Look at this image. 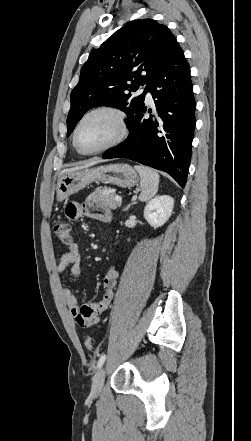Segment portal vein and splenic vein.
Masks as SVG:
<instances>
[{
  "label": "portal vein and splenic vein",
  "mask_w": 251,
  "mask_h": 441,
  "mask_svg": "<svg viewBox=\"0 0 251 441\" xmlns=\"http://www.w3.org/2000/svg\"><path fill=\"white\" fill-rule=\"evenodd\" d=\"M114 200H115L116 202L120 203V204H121V202H122V198H121V196H115V197H114Z\"/></svg>",
  "instance_id": "obj_1"
}]
</instances>
